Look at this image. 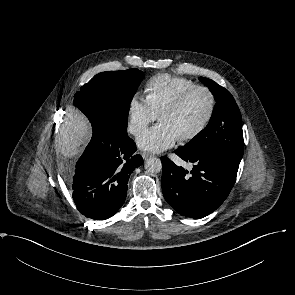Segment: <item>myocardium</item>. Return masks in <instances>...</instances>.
<instances>
[{
  "mask_svg": "<svg viewBox=\"0 0 295 295\" xmlns=\"http://www.w3.org/2000/svg\"><path fill=\"white\" fill-rule=\"evenodd\" d=\"M204 91L209 98V110L205 117V119L201 122V124L190 134L182 136L179 138L181 142H189L197 137H199L210 125L211 121L213 120V117L216 112L217 108V98L213 90L204 84H195L194 86L190 87L186 91H184L175 101H173L170 105H168L160 114H159V120L168 114L176 113L178 112L188 101V99L192 96V94L196 91Z\"/></svg>",
  "mask_w": 295,
  "mask_h": 295,
  "instance_id": "1",
  "label": "myocardium"
}]
</instances>
